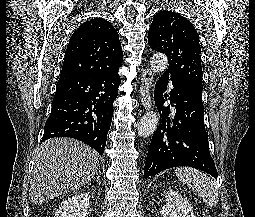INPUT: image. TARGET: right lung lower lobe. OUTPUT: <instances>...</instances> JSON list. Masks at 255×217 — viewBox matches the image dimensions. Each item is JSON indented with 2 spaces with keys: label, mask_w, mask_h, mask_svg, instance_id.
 Masks as SVG:
<instances>
[{
  "label": "right lung lower lobe",
  "mask_w": 255,
  "mask_h": 217,
  "mask_svg": "<svg viewBox=\"0 0 255 217\" xmlns=\"http://www.w3.org/2000/svg\"><path fill=\"white\" fill-rule=\"evenodd\" d=\"M119 84L117 72L60 76L42 142L53 137H71L102 155Z\"/></svg>",
  "instance_id": "obj_1"
}]
</instances>
